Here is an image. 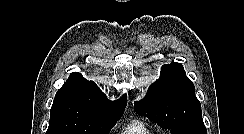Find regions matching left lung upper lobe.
I'll use <instances>...</instances> for the list:
<instances>
[{"mask_svg":"<svg viewBox=\"0 0 244 134\" xmlns=\"http://www.w3.org/2000/svg\"><path fill=\"white\" fill-rule=\"evenodd\" d=\"M134 104L137 113L172 134H207L195 87L180 63L163 65L160 78Z\"/></svg>","mask_w":244,"mask_h":134,"instance_id":"obj_1","label":"left lung upper lobe"}]
</instances>
